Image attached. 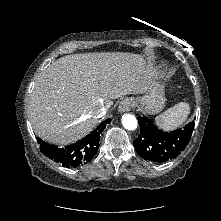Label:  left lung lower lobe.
<instances>
[{
    "mask_svg": "<svg viewBox=\"0 0 221 221\" xmlns=\"http://www.w3.org/2000/svg\"><path fill=\"white\" fill-rule=\"evenodd\" d=\"M140 134L133 145L139 156L153 162H166L183 151L190 141L195 123L170 133L159 130L147 117H138Z\"/></svg>",
    "mask_w": 221,
    "mask_h": 221,
    "instance_id": "0a47b994",
    "label": "left lung lower lobe"
}]
</instances>
